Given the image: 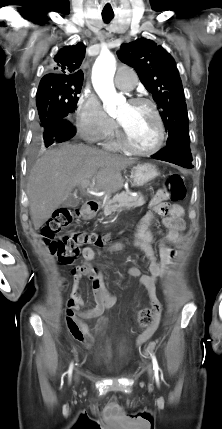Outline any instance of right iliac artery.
I'll use <instances>...</instances> for the list:
<instances>
[{"mask_svg": "<svg viewBox=\"0 0 222 429\" xmlns=\"http://www.w3.org/2000/svg\"><path fill=\"white\" fill-rule=\"evenodd\" d=\"M72 370H73V363H71V365H70V367H69V370H68L69 378H71Z\"/></svg>", "mask_w": 222, "mask_h": 429, "instance_id": "right-iliac-artery-1", "label": "right iliac artery"}]
</instances>
